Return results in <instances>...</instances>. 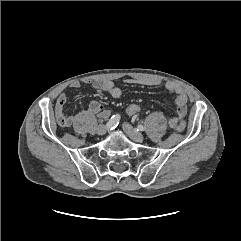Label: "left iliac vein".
<instances>
[{"mask_svg": "<svg viewBox=\"0 0 241 241\" xmlns=\"http://www.w3.org/2000/svg\"><path fill=\"white\" fill-rule=\"evenodd\" d=\"M123 130L127 133V135L135 142H142L144 140V136L137 129L133 128L130 124L124 123Z\"/></svg>", "mask_w": 241, "mask_h": 241, "instance_id": "4c4485c4", "label": "left iliac vein"}]
</instances>
